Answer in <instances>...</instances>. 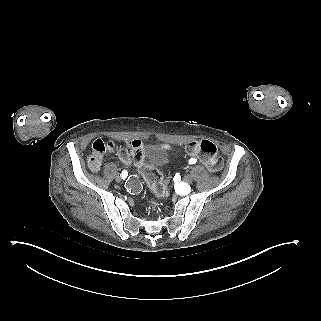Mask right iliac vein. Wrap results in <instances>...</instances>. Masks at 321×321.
I'll return each instance as SVG.
<instances>
[{"instance_id":"obj_1","label":"right iliac vein","mask_w":321,"mask_h":321,"mask_svg":"<svg viewBox=\"0 0 321 321\" xmlns=\"http://www.w3.org/2000/svg\"><path fill=\"white\" fill-rule=\"evenodd\" d=\"M116 182L120 183L122 181V178L119 176V174L115 175Z\"/></svg>"}]
</instances>
